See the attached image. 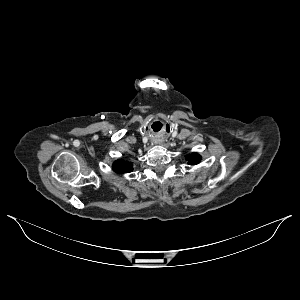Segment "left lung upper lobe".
I'll list each match as a JSON object with an SVG mask.
<instances>
[{"label":"left lung upper lobe","mask_w":300,"mask_h":300,"mask_svg":"<svg viewBox=\"0 0 300 300\" xmlns=\"http://www.w3.org/2000/svg\"><path fill=\"white\" fill-rule=\"evenodd\" d=\"M200 155L197 153H192L186 156V160H188V164L196 165L200 162Z\"/></svg>","instance_id":"1"}]
</instances>
